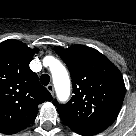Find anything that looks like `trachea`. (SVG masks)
Listing matches in <instances>:
<instances>
[{
	"instance_id": "trachea-1",
	"label": "trachea",
	"mask_w": 136,
	"mask_h": 136,
	"mask_svg": "<svg viewBox=\"0 0 136 136\" xmlns=\"http://www.w3.org/2000/svg\"><path fill=\"white\" fill-rule=\"evenodd\" d=\"M40 82L45 86L48 85L50 82V76L48 74H42L40 76Z\"/></svg>"
}]
</instances>
